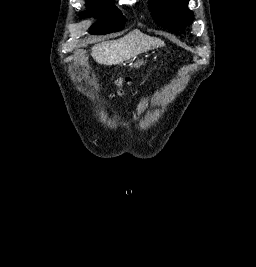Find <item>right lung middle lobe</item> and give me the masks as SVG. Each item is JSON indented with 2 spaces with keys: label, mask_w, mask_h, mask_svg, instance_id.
Returning a JSON list of instances; mask_svg holds the SVG:
<instances>
[{
  "label": "right lung middle lobe",
  "mask_w": 256,
  "mask_h": 267,
  "mask_svg": "<svg viewBox=\"0 0 256 267\" xmlns=\"http://www.w3.org/2000/svg\"><path fill=\"white\" fill-rule=\"evenodd\" d=\"M88 6L100 19L90 28L91 34L103 35L124 28L126 18L113 2L92 1L88 2Z\"/></svg>",
  "instance_id": "dd1d6c3e"
}]
</instances>
